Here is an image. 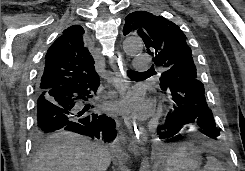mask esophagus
Instances as JSON below:
<instances>
[{"label":"esophagus","instance_id":"34e87169","mask_svg":"<svg viewBox=\"0 0 245 171\" xmlns=\"http://www.w3.org/2000/svg\"><path fill=\"white\" fill-rule=\"evenodd\" d=\"M111 66L114 73V83L116 89L120 95V98H123L129 86V80L126 75V65L123 59L120 57V60H118L117 63L113 62ZM123 119L127 129L132 134L135 141L139 143L147 141V133L144 127L131 120L130 117L125 114H123ZM129 149L132 151H137V145L135 143H130Z\"/></svg>","mask_w":245,"mask_h":171}]
</instances>
